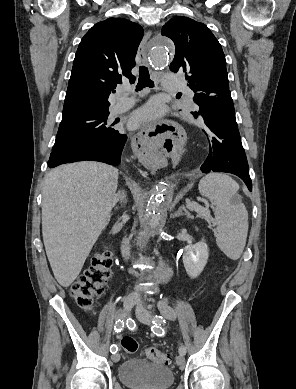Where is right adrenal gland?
<instances>
[{
    "mask_svg": "<svg viewBox=\"0 0 296 389\" xmlns=\"http://www.w3.org/2000/svg\"><path fill=\"white\" fill-rule=\"evenodd\" d=\"M115 210H118V207H115Z\"/></svg>",
    "mask_w": 296,
    "mask_h": 389,
    "instance_id": "1",
    "label": "right adrenal gland"
}]
</instances>
